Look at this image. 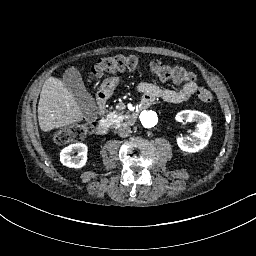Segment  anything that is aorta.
<instances>
[{"instance_id":"aorta-1","label":"aorta","mask_w":256,"mask_h":256,"mask_svg":"<svg viewBox=\"0 0 256 256\" xmlns=\"http://www.w3.org/2000/svg\"><path fill=\"white\" fill-rule=\"evenodd\" d=\"M141 122L143 123L144 126L146 127H153L157 123V116L155 113L152 111H145L141 115Z\"/></svg>"}]
</instances>
